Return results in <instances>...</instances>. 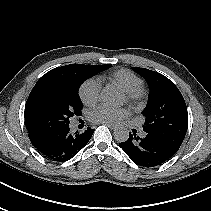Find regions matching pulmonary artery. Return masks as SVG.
I'll use <instances>...</instances> for the list:
<instances>
[{
  "instance_id": "1",
  "label": "pulmonary artery",
  "mask_w": 211,
  "mask_h": 211,
  "mask_svg": "<svg viewBox=\"0 0 211 211\" xmlns=\"http://www.w3.org/2000/svg\"><path fill=\"white\" fill-rule=\"evenodd\" d=\"M146 136V133L142 132L141 137L144 138Z\"/></svg>"
}]
</instances>
